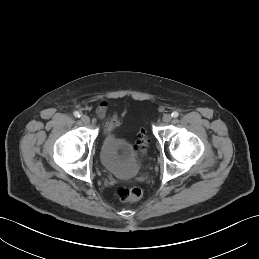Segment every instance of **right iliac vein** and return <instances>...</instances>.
<instances>
[{
	"mask_svg": "<svg viewBox=\"0 0 259 259\" xmlns=\"http://www.w3.org/2000/svg\"><path fill=\"white\" fill-rule=\"evenodd\" d=\"M81 121L85 124H88L90 122V118L87 115H82Z\"/></svg>",
	"mask_w": 259,
	"mask_h": 259,
	"instance_id": "obj_1",
	"label": "right iliac vein"
}]
</instances>
